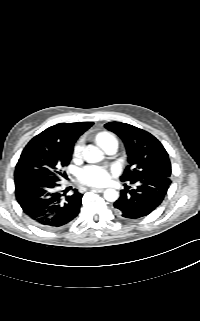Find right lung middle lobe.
<instances>
[{"label": "right lung middle lobe", "mask_w": 200, "mask_h": 321, "mask_svg": "<svg viewBox=\"0 0 200 321\" xmlns=\"http://www.w3.org/2000/svg\"><path fill=\"white\" fill-rule=\"evenodd\" d=\"M71 155L64 153L52 144L33 141L22 151L16 166V173L43 176L55 182L67 179L65 168Z\"/></svg>", "instance_id": "obj_1"}]
</instances>
